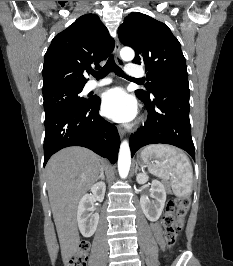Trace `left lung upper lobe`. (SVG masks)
Listing matches in <instances>:
<instances>
[{
    "label": "left lung upper lobe",
    "instance_id": "1",
    "mask_svg": "<svg viewBox=\"0 0 233 266\" xmlns=\"http://www.w3.org/2000/svg\"><path fill=\"white\" fill-rule=\"evenodd\" d=\"M122 44L135 50L133 63L144 64L147 70V91L137 90L139 95L150 93L175 84L188 85L186 60L179 41L171 30L142 13H130L118 29Z\"/></svg>",
    "mask_w": 233,
    "mask_h": 266
}]
</instances>
